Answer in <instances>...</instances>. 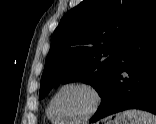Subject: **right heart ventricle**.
Masks as SVG:
<instances>
[{
    "mask_svg": "<svg viewBox=\"0 0 156 124\" xmlns=\"http://www.w3.org/2000/svg\"><path fill=\"white\" fill-rule=\"evenodd\" d=\"M47 117L48 119L52 122V123H55V124H65L61 118H55L53 116V114L51 113L50 111V108H49V105L47 107Z\"/></svg>",
    "mask_w": 156,
    "mask_h": 124,
    "instance_id": "1",
    "label": "right heart ventricle"
}]
</instances>
